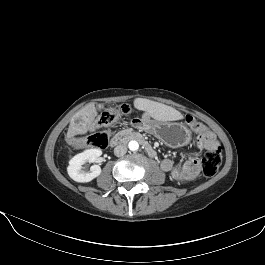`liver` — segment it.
<instances>
[{
	"label": "liver",
	"mask_w": 265,
	"mask_h": 265,
	"mask_svg": "<svg viewBox=\"0 0 265 265\" xmlns=\"http://www.w3.org/2000/svg\"><path fill=\"white\" fill-rule=\"evenodd\" d=\"M134 107L144 111L143 118H153L157 121L167 122L183 119L181 112L175 108L145 98H136ZM97 116V108L94 103H89L73 115L68 128L67 136L85 134Z\"/></svg>",
	"instance_id": "obj_1"
}]
</instances>
